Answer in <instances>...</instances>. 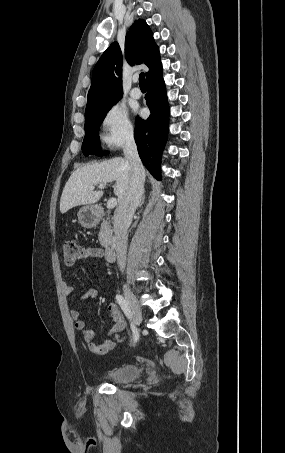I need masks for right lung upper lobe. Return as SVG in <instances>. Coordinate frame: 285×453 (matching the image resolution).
I'll return each mask as SVG.
<instances>
[{
  "label": "right lung upper lobe",
  "mask_w": 285,
  "mask_h": 453,
  "mask_svg": "<svg viewBox=\"0 0 285 453\" xmlns=\"http://www.w3.org/2000/svg\"><path fill=\"white\" fill-rule=\"evenodd\" d=\"M125 57L130 65L148 66V79L162 69L159 48L146 21L135 20L125 38ZM122 52L112 43L96 63L88 92L85 114L103 108L122 97Z\"/></svg>",
  "instance_id": "right-lung-upper-lobe-1"
}]
</instances>
